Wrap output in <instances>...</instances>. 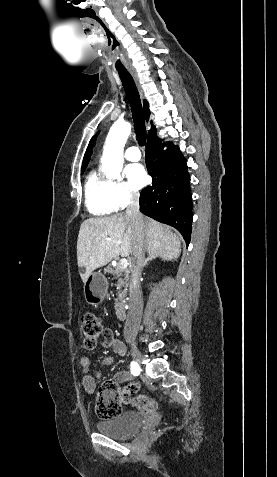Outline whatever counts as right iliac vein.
<instances>
[{
	"label": "right iliac vein",
	"mask_w": 277,
	"mask_h": 477,
	"mask_svg": "<svg viewBox=\"0 0 277 477\" xmlns=\"http://www.w3.org/2000/svg\"><path fill=\"white\" fill-rule=\"evenodd\" d=\"M131 355L136 363L140 364L142 362V354L135 344H131Z\"/></svg>",
	"instance_id": "right-iliac-vein-1"
}]
</instances>
